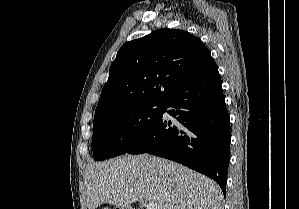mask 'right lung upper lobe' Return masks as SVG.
Returning a JSON list of instances; mask_svg holds the SVG:
<instances>
[{
  "label": "right lung upper lobe",
  "instance_id": "1",
  "mask_svg": "<svg viewBox=\"0 0 299 209\" xmlns=\"http://www.w3.org/2000/svg\"><path fill=\"white\" fill-rule=\"evenodd\" d=\"M218 69L207 47L180 29H159L123 45L109 70L95 115L136 103L165 102L191 75Z\"/></svg>",
  "mask_w": 299,
  "mask_h": 209
}]
</instances>
